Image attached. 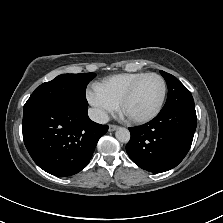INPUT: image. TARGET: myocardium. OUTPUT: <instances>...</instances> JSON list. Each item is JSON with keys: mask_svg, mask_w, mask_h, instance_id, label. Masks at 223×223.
Masks as SVG:
<instances>
[{"mask_svg": "<svg viewBox=\"0 0 223 223\" xmlns=\"http://www.w3.org/2000/svg\"><path fill=\"white\" fill-rule=\"evenodd\" d=\"M157 77L160 82H161V86H162V91H161V96L159 99V102L156 106V108L148 115L146 116H142V117H134V116H128L122 113L121 108L129 101V99L133 96V94L135 93V91L137 90V88L139 87V85L147 78V77ZM166 97V83L165 80L163 79L162 76H160L157 73H146L144 76H142L141 78H139L129 89L128 91L123 95V97L119 100L118 105H119V116L120 117H125L127 118L129 121L135 122V123H146L149 122L151 120H153L161 111L164 100Z\"/></svg>", "mask_w": 223, "mask_h": 223, "instance_id": "obj_1", "label": "myocardium"}]
</instances>
